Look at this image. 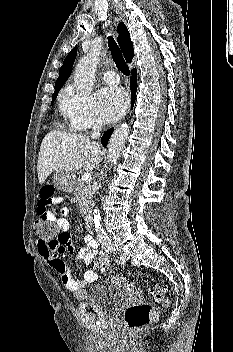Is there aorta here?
Returning <instances> with one entry per match:
<instances>
[{"mask_svg":"<svg viewBox=\"0 0 233 352\" xmlns=\"http://www.w3.org/2000/svg\"><path fill=\"white\" fill-rule=\"evenodd\" d=\"M99 54L98 51H91L78 62L74 73V85L77 92L88 94L92 90L95 71L99 63ZM129 133L130 127L127 124H122L113 132L108 143V163L110 167L119 159ZM93 221L99 241L107 242L108 237L102 227L98 207L93 209Z\"/></svg>","mask_w":233,"mask_h":352,"instance_id":"aorta-1","label":"aorta"}]
</instances>
